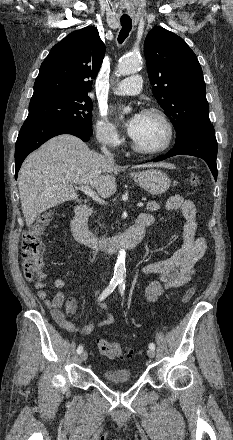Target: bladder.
Here are the masks:
<instances>
[{
    "label": "bladder",
    "instance_id": "obj_1",
    "mask_svg": "<svg viewBox=\"0 0 233 440\" xmlns=\"http://www.w3.org/2000/svg\"><path fill=\"white\" fill-rule=\"evenodd\" d=\"M103 376L112 384H123L131 380V372L127 368L106 370Z\"/></svg>",
    "mask_w": 233,
    "mask_h": 440
}]
</instances>
